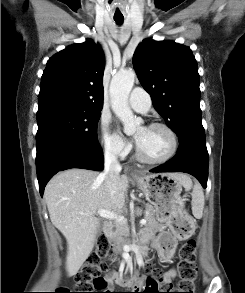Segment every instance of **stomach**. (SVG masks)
<instances>
[{"label": "stomach", "instance_id": "stomach-1", "mask_svg": "<svg viewBox=\"0 0 245 293\" xmlns=\"http://www.w3.org/2000/svg\"><path fill=\"white\" fill-rule=\"evenodd\" d=\"M135 181L147 200L154 206L159 222L169 226L179 238H186L193 233L192 226L187 232H178L173 227V224L189 219L184 199L181 197L183 185L173 174H142L135 177Z\"/></svg>", "mask_w": 245, "mask_h": 293}]
</instances>
